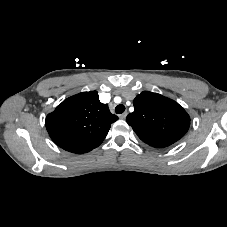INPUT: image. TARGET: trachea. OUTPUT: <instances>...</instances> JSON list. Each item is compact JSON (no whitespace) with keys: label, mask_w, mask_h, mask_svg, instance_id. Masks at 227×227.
Instances as JSON below:
<instances>
[{"label":"trachea","mask_w":227,"mask_h":227,"mask_svg":"<svg viewBox=\"0 0 227 227\" xmlns=\"http://www.w3.org/2000/svg\"><path fill=\"white\" fill-rule=\"evenodd\" d=\"M125 111V106L123 104H119L115 108V112L117 114H122Z\"/></svg>","instance_id":"1"}]
</instances>
